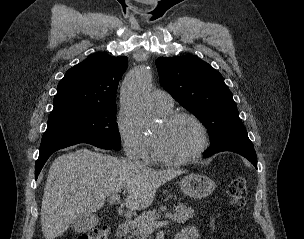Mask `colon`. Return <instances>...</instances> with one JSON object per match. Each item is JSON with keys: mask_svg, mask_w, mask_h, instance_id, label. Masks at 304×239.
<instances>
[{"mask_svg": "<svg viewBox=\"0 0 304 239\" xmlns=\"http://www.w3.org/2000/svg\"><path fill=\"white\" fill-rule=\"evenodd\" d=\"M227 195L234 208L235 217L241 220L247 199V179L244 175L238 174L231 178L227 186ZM77 239H110V234L106 227L95 228L80 235Z\"/></svg>", "mask_w": 304, "mask_h": 239, "instance_id": "obj_1", "label": "colon"}]
</instances>
